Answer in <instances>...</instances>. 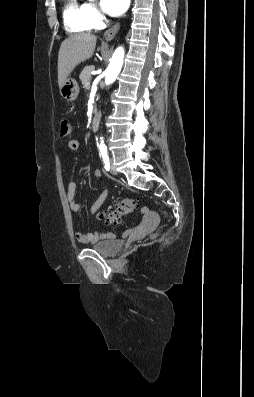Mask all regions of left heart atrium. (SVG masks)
Masks as SVG:
<instances>
[{"mask_svg":"<svg viewBox=\"0 0 254 397\" xmlns=\"http://www.w3.org/2000/svg\"><path fill=\"white\" fill-rule=\"evenodd\" d=\"M130 0H101L102 9L110 16H119L124 13Z\"/></svg>","mask_w":254,"mask_h":397,"instance_id":"left-heart-atrium-1","label":"left heart atrium"}]
</instances>
